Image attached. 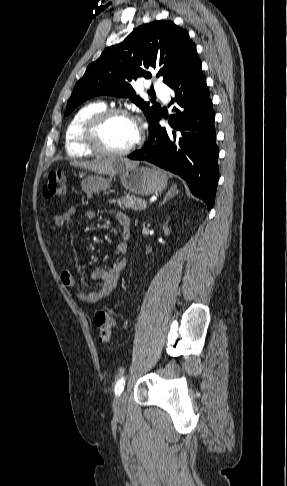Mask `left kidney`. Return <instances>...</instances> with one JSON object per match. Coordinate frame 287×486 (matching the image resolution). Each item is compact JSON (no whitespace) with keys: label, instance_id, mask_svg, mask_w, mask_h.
<instances>
[{"label":"left kidney","instance_id":"obj_1","mask_svg":"<svg viewBox=\"0 0 287 486\" xmlns=\"http://www.w3.org/2000/svg\"><path fill=\"white\" fill-rule=\"evenodd\" d=\"M164 233H165V235H168L170 233V230L168 229V227L164 228Z\"/></svg>","mask_w":287,"mask_h":486}]
</instances>
